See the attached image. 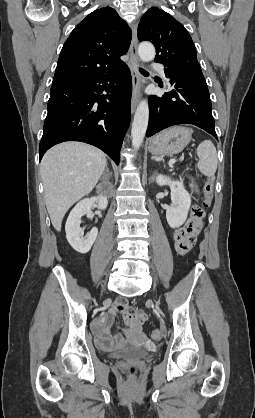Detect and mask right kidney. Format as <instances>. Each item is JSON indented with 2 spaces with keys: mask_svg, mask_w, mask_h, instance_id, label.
I'll return each instance as SVG.
<instances>
[{
  "mask_svg": "<svg viewBox=\"0 0 255 418\" xmlns=\"http://www.w3.org/2000/svg\"><path fill=\"white\" fill-rule=\"evenodd\" d=\"M95 202L102 210H104L108 204L107 198L102 195L92 198H85L78 202L76 206L71 210L66 221V238L72 248L81 254L89 252L98 235V229L93 227L87 238L84 239L81 232L82 230L80 228L81 217L86 214L90 216L92 215L91 208Z\"/></svg>",
  "mask_w": 255,
  "mask_h": 418,
  "instance_id": "ca27d5eb",
  "label": "right kidney"
}]
</instances>
